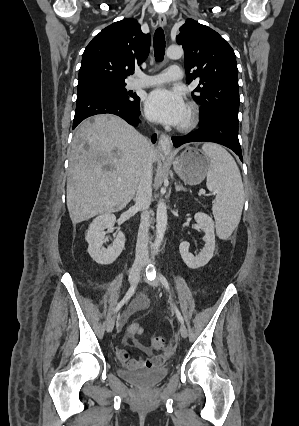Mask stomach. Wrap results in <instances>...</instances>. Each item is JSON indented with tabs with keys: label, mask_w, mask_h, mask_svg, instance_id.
Wrapping results in <instances>:
<instances>
[{
	"label": "stomach",
	"mask_w": 299,
	"mask_h": 426,
	"mask_svg": "<svg viewBox=\"0 0 299 426\" xmlns=\"http://www.w3.org/2000/svg\"><path fill=\"white\" fill-rule=\"evenodd\" d=\"M173 168L185 184L201 183L210 170L209 157L199 149L187 147L173 159Z\"/></svg>",
	"instance_id": "1"
}]
</instances>
